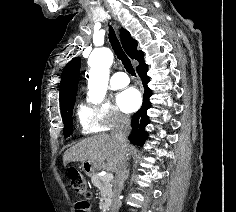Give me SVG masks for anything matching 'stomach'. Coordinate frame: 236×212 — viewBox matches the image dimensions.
<instances>
[{
    "instance_id": "stomach-1",
    "label": "stomach",
    "mask_w": 236,
    "mask_h": 212,
    "mask_svg": "<svg viewBox=\"0 0 236 212\" xmlns=\"http://www.w3.org/2000/svg\"><path fill=\"white\" fill-rule=\"evenodd\" d=\"M81 167H82L83 171L86 173V175H88V176H93L98 169L93 163H91L89 161L82 162Z\"/></svg>"
}]
</instances>
